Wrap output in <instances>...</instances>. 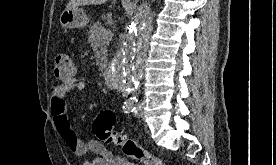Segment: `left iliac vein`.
Returning <instances> with one entry per match:
<instances>
[{"instance_id":"4c4485c4","label":"left iliac vein","mask_w":276,"mask_h":165,"mask_svg":"<svg viewBox=\"0 0 276 165\" xmlns=\"http://www.w3.org/2000/svg\"><path fill=\"white\" fill-rule=\"evenodd\" d=\"M135 116L137 118L143 117V111H142V106L141 105H139V108L135 111Z\"/></svg>"}]
</instances>
